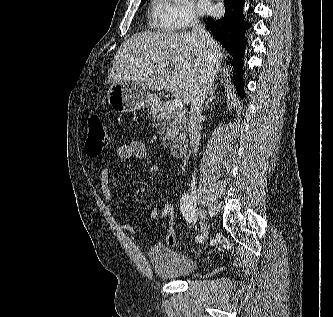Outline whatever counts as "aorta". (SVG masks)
I'll use <instances>...</instances> for the list:
<instances>
[{"mask_svg":"<svg viewBox=\"0 0 333 317\" xmlns=\"http://www.w3.org/2000/svg\"><path fill=\"white\" fill-rule=\"evenodd\" d=\"M173 2L177 3V2H180L181 0H172Z\"/></svg>","mask_w":333,"mask_h":317,"instance_id":"aorta-1","label":"aorta"}]
</instances>
